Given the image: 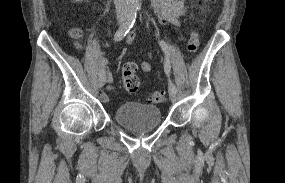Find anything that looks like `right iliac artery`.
<instances>
[{"mask_svg":"<svg viewBox=\"0 0 285 183\" xmlns=\"http://www.w3.org/2000/svg\"><path fill=\"white\" fill-rule=\"evenodd\" d=\"M136 9L132 8L129 9L128 16L126 22L116 31L114 35V41H120L122 40L126 34L129 32V30L133 27L136 19ZM99 76L104 75V71L100 68L98 71Z\"/></svg>","mask_w":285,"mask_h":183,"instance_id":"1","label":"right iliac artery"}]
</instances>
